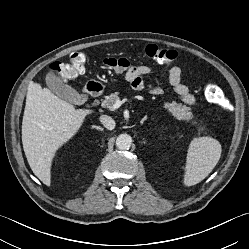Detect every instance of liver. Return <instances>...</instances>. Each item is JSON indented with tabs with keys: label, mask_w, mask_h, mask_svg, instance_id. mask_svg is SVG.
<instances>
[{
	"label": "liver",
	"mask_w": 249,
	"mask_h": 249,
	"mask_svg": "<svg viewBox=\"0 0 249 249\" xmlns=\"http://www.w3.org/2000/svg\"><path fill=\"white\" fill-rule=\"evenodd\" d=\"M90 110L78 109L39 83L28 87L22 121L23 149L35 176L51 184V165L57 150L81 128Z\"/></svg>",
	"instance_id": "1"
}]
</instances>
